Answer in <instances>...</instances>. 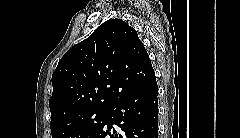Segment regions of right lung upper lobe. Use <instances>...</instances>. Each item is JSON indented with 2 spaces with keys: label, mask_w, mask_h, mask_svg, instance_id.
<instances>
[{
  "label": "right lung upper lobe",
  "mask_w": 240,
  "mask_h": 138,
  "mask_svg": "<svg viewBox=\"0 0 240 138\" xmlns=\"http://www.w3.org/2000/svg\"><path fill=\"white\" fill-rule=\"evenodd\" d=\"M153 76L135 29L121 19H110L59 61L52 75L50 124L90 108H108Z\"/></svg>",
  "instance_id": "right-lung-upper-lobe-1"
}]
</instances>
